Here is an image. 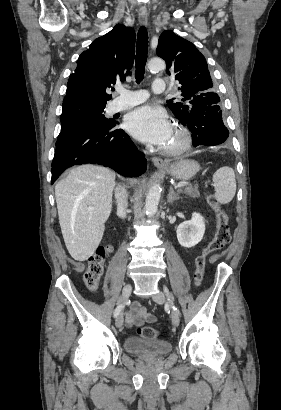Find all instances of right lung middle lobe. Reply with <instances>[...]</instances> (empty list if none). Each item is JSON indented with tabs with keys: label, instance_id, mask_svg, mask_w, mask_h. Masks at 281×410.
Returning <instances> with one entry per match:
<instances>
[{
	"label": "right lung middle lobe",
	"instance_id": "1",
	"mask_svg": "<svg viewBox=\"0 0 281 410\" xmlns=\"http://www.w3.org/2000/svg\"><path fill=\"white\" fill-rule=\"evenodd\" d=\"M104 108L105 106L92 104L64 106L61 114V132L59 137L80 127L112 123V119H107L104 116Z\"/></svg>",
	"mask_w": 281,
	"mask_h": 410
}]
</instances>
